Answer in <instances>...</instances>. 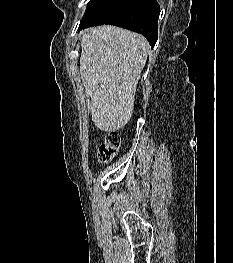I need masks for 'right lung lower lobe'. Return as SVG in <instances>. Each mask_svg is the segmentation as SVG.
Here are the masks:
<instances>
[{"label":"right lung lower lobe","instance_id":"1","mask_svg":"<svg viewBox=\"0 0 233 263\" xmlns=\"http://www.w3.org/2000/svg\"><path fill=\"white\" fill-rule=\"evenodd\" d=\"M160 7L156 0H128L124 6L105 22L82 21L81 27L112 24L144 35L153 48L158 39L157 22Z\"/></svg>","mask_w":233,"mask_h":263}]
</instances>
